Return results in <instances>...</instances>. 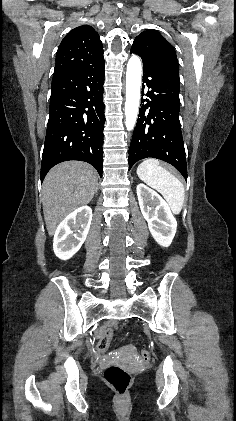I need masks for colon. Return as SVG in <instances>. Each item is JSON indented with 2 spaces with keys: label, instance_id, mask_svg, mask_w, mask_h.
I'll use <instances>...</instances> for the list:
<instances>
[{
  "label": "colon",
  "instance_id": "colon-1",
  "mask_svg": "<svg viewBox=\"0 0 236 421\" xmlns=\"http://www.w3.org/2000/svg\"><path fill=\"white\" fill-rule=\"evenodd\" d=\"M112 334V328H107L104 336L98 343V348L101 352H105L108 349ZM141 356L144 359H149L151 357L150 350L143 348ZM104 379L119 395H124L131 386L132 374L118 365H109L104 371Z\"/></svg>",
  "mask_w": 236,
  "mask_h": 421
}]
</instances>
